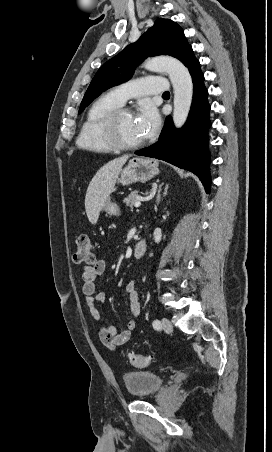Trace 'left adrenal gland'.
<instances>
[{"label":"left adrenal gland","instance_id":"a2214340","mask_svg":"<svg viewBox=\"0 0 272 452\" xmlns=\"http://www.w3.org/2000/svg\"><path fill=\"white\" fill-rule=\"evenodd\" d=\"M164 185V183H161L158 187V193H157V197H156V206L160 203L161 201V192H162V186ZM167 189H168V185L166 184L163 195H166L167 193Z\"/></svg>","mask_w":272,"mask_h":452}]
</instances>
